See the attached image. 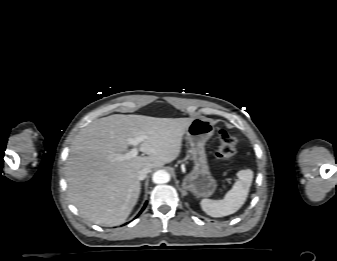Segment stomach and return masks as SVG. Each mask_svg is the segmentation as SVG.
Instances as JSON below:
<instances>
[{"label":"stomach","instance_id":"obj_1","mask_svg":"<svg viewBox=\"0 0 337 261\" xmlns=\"http://www.w3.org/2000/svg\"><path fill=\"white\" fill-rule=\"evenodd\" d=\"M185 133L194 166L185 175L182 187L197 197H210L216 191L217 181L209 170L205 145L214 133V124L207 118H194Z\"/></svg>","mask_w":337,"mask_h":261}]
</instances>
